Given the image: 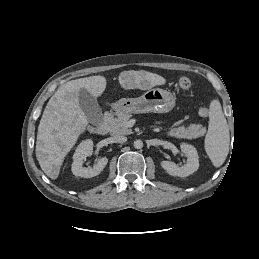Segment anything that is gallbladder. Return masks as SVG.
I'll use <instances>...</instances> for the list:
<instances>
[{
    "mask_svg": "<svg viewBox=\"0 0 259 259\" xmlns=\"http://www.w3.org/2000/svg\"><path fill=\"white\" fill-rule=\"evenodd\" d=\"M78 99L79 105L88 121L94 125L100 124L103 119V113L98 104L97 98L86 89L81 88L78 94Z\"/></svg>",
    "mask_w": 259,
    "mask_h": 259,
    "instance_id": "obj_1",
    "label": "gallbladder"
}]
</instances>
